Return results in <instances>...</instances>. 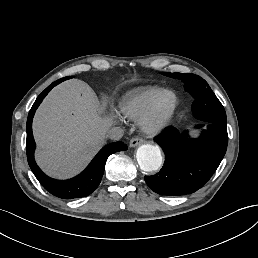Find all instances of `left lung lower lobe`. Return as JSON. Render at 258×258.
<instances>
[{
	"instance_id": "1",
	"label": "left lung lower lobe",
	"mask_w": 258,
	"mask_h": 258,
	"mask_svg": "<svg viewBox=\"0 0 258 258\" xmlns=\"http://www.w3.org/2000/svg\"><path fill=\"white\" fill-rule=\"evenodd\" d=\"M194 102L209 111L217 108L213 97L199 98ZM201 121L208 126L199 138H190L188 131L180 133L174 127L167 128L155 138L165 153V162L159 173L144 177L154 192L169 196L193 193L203 187L218 168L228 144L226 123L211 118Z\"/></svg>"
}]
</instances>
